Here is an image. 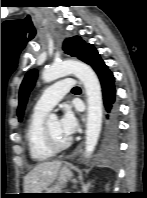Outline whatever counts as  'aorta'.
Instances as JSON below:
<instances>
[{"label": "aorta", "mask_w": 147, "mask_h": 198, "mask_svg": "<svg viewBox=\"0 0 147 198\" xmlns=\"http://www.w3.org/2000/svg\"><path fill=\"white\" fill-rule=\"evenodd\" d=\"M71 73L83 83L87 95L88 110L85 152L86 155L89 156L93 153L97 145L103 116L101 86L95 72L83 62L67 60L54 63L46 68L42 73V79L45 83H50ZM56 119L57 116L55 114L49 115V121Z\"/></svg>", "instance_id": "obj_1"}]
</instances>
